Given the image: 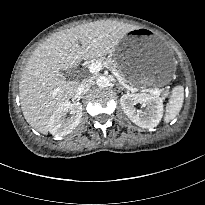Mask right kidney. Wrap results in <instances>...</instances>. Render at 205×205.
<instances>
[{"label": "right kidney", "mask_w": 205, "mask_h": 205, "mask_svg": "<svg viewBox=\"0 0 205 205\" xmlns=\"http://www.w3.org/2000/svg\"><path fill=\"white\" fill-rule=\"evenodd\" d=\"M71 114L67 117V114ZM82 104L80 102L64 101L53 112L49 119L48 130L55 137L70 134L80 123Z\"/></svg>", "instance_id": "right-kidney-1"}]
</instances>
